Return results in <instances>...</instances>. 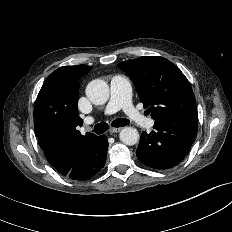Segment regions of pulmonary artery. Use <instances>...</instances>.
Masks as SVG:
<instances>
[{"instance_id":"1","label":"pulmonary artery","mask_w":232,"mask_h":232,"mask_svg":"<svg viewBox=\"0 0 232 232\" xmlns=\"http://www.w3.org/2000/svg\"><path fill=\"white\" fill-rule=\"evenodd\" d=\"M111 96L104 109L105 115H112L119 110H123L128 118L143 127L150 128L154 125V120L145 117L131 102V86L127 78L122 75H115L110 83ZM92 117L87 118L86 123L91 124Z\"/></svg>"}]
</instances>
